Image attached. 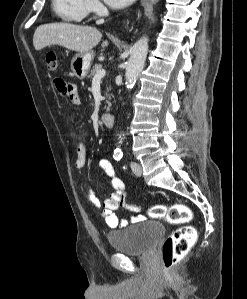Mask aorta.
<instances>
[{"mask_svg": "<svg viewBox=\"0 0 247 299\" xmlns=\"http://www.w3.org/2000/svg\"><path fill=\"white\" fill-rule=\"evenodd\" d=\"M158 0H152L153 3ZM148 53V38L142 37L138 40L131 49L130 58L127 63L126 72H125V85L128 90L132 89L136 83V80L143 70L146 57ZM120 149L116 148V152H119Z\"/></svg>", "mask_w": 247, "mask_h": 299, "instance_id": "obj_1", "label": "aorta"}]
</instances>
